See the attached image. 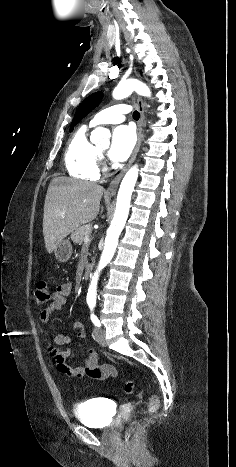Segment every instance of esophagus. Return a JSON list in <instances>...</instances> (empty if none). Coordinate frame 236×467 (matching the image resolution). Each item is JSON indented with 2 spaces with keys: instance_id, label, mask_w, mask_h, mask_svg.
I'll return each instance as SVG.
<instances>
[{
  "instance_id": "34e87169",
  "label": "esophagus",
  "mask_w": 236,
  "mask_h": 467,
  "mask_svg": "<svg viewBox=\"0 0 236 467\" xmlns=\"http://www.w3.org/2000/svg\"><path fill=\"white\" fill-rule=\"evenodd\" d=\"M137 107H138V110H139V113H140V119L138 121V126H137V143H136V146L134 148V151L132 153V156H131L128 164L114 178V180L108 186V188L106 190V194H108V195H115L116 194L119 183H120L122 177L124 176V174L126 173L128 168L130 167V165L133 163V161H134V159H135V157H136V155H137V153L139 151V148H140V144H141V140H142V126H143V122H144V118H145V103L143 102L142 98H140V97L137 98Z\"/></svg>"
}]
</instances>
